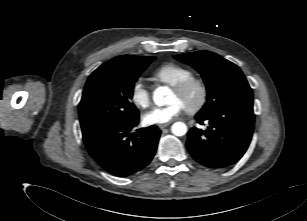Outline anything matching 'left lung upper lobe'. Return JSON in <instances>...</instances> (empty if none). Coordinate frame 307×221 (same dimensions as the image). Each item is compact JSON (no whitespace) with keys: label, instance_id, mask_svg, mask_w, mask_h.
<instances>
[{"label":"left lung upper lobe","instance_id":"left-lung-upper-lobe-1","mask_svg":"<svg viewBox=\"0 0 307 221\" xmlns=\"http://www.w3.org/2000/svg\"><path fill=\"white\" fill-rule=\"evenodd\" d=\"M175 59L195 68L207 88V102L200 113H212L227 106H253V93L240 68L209 51L175 55Z\"/></svg>","mask_w":307,"mask_h":221}]
</instances>
